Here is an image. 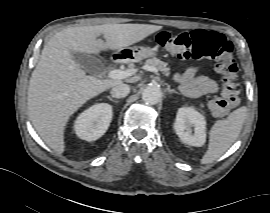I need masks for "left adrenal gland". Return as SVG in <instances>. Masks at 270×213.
Here are the masks:
<instances>
[{"instance_id":"left-adrenal-gland-1","label":"left adrenal gland","mask_w":270,"mask_h":213,"mask_svg":"<svg viewBox=\"0 0 270 213\" xmlns=\"http://www.w3.org/2000/svg\"><path fill=\"white\" fill-rule=\"evenodd\" d=\"M166 91H167L168 93H176V94H180V93L177 92L176 90L171 89L170 86L167 87Z\"/></svg>"}]
</instances>
